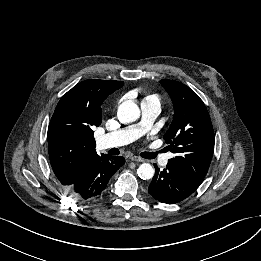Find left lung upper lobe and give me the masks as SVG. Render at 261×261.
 Here are the masks:
<instances>
[{"mask_svg": "<svg viewBox=\"0 0 261 261\" xmlns=\"http://www.w3.org/2000/svg\"><path fill=\"white\" fill-rule=\"evenodd\" d=\"M174 104V117L164 139L175 158L168 160L186 181L198 187L214 150V131L209 113L198 95L174 80H161Z\"/></svg>", "mask_w": 261, "mask_h": 261, "instance_id": "left-lung-upper-lobe-1", "label": "left lung upper lobe"}]
</instances>
